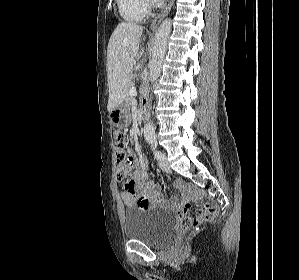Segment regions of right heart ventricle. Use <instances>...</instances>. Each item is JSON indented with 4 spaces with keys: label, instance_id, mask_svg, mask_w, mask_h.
Listing matches in <instances>:
<instances>
[{
    "label": "right heart ventricle",
    "instance_id": "e07e8e85",
    "mask_svg": "<svg viewBox=\"0 0 299 280\" xmlns=\"http://www.w3.org/2000/svg\"><path fill=\"white\" fill-rule=\"evenodd\" d=\"M121 17L128 22H141L148 15L145 0H116Z\"/></svg>",
    "mask_w": 299,
    "mask_h": 280
}]
</instances>
